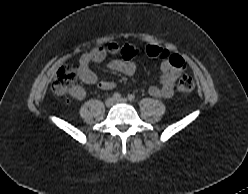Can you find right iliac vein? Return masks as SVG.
<instances>
[{"label":"right iliac vein","instance_id":"obj_1","mask_svg":"<svg viewBox=\"0 0 248 194\" xmlns=\"http://www.w3.org/2000/svg\"><path fill=\"white\" fill-rule=\"evenodd\" d=\"M113 104H114V98L109 97V98L106 99L105 105H106L107 107H111Z\"/></svg>","mask_w":248,"mask_h":194}]
</instances>
